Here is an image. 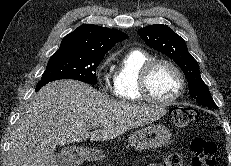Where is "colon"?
<instances>
[{"label": "colon", "mask_w": 231, "mask_h": 166, "mask_svg": "<svg viewBox=\"0 0 231 166\" xmlns=\"http://www.w3.org/2000/svg\"><path fill=\"white\" fill-rule=\"evenodd\" d=\"M170 116L178 128H186L198 117V111L191 107H175ZM193 152L192 166H214L216 145L203 137H196L191 142ZM149 166H183V156L178 153L168 155L162 163H152Z\"/></svg>", "instance_id": "colon-1"}]
</instances>
